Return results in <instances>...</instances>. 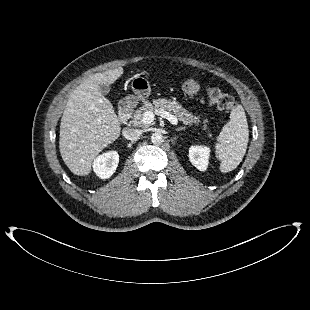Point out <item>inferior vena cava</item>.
<instances>
[{"mask_svg": "<svg viewBox=\"0 0 310 310\" xmlns=\"http://www.w3.org/2000/svg\"><path fill=\"white\" fill-rule=\"evenodd\" d=\"M124 136L127 139H137L142 134V130L133 129V128H126L123 132Z\"/></svg>", "mask_w": 310, "mask_h": 310, "instance_id": "inferior-vena-cava-1", "label": "inferior vena cava"}]
</instances>
